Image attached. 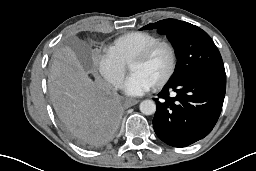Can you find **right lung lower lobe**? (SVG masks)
Masks as SVG:
<instances>
[{"label": "right lung lower lobe", "instance_id": "98d812e1", "mask_svg": "<svg viewBox=\"0 0 256 171\" xmlns=\"http://www.w3.org/2000/svg\"><path fill=\"white\" fill-rule=\"evenodd\" d=\"M55 110L67 133L86 146H102L115 135L121 121L116 92L97 83L81 94L55 103Z\"/></svg>", "mask_w": 256, "mask_h": 171}]
</instances>
